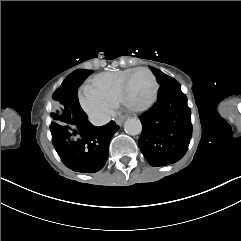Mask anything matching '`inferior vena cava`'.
<instances>
[{
	"label": "inferior vena cava",
	"instance_id": "1",
	"mask_svg": "<svg viewBox=\"0 0 241 241\" xmlns=\"http://www.w3.org/2000/svg\"><path fill=\"white\" fill-rule=\"evenodd\" d=\"M111 120V116L107 114H100L97 116H93L90 118V122L95 126H102L109 123Z\"/></svg>",
	"mask_w": 241,
	"mask_h": 241
}]
</instances>
